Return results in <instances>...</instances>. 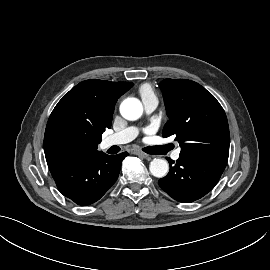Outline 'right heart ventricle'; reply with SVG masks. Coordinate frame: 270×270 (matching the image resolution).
<instances>
[{
    "mask_svg": "<svg viewBox=\"0 0 270 270\" xmlns=\"http://www.w3.org/2000/svg\"><path fill=\"white\" fill-rule=\"evenodd\" d=\"M139 94L142 98L151 97V96H156L155 92L150 84H143L139 87Z\"/></svg>",
    "mask_w": 270,
    "mask_h": 270,
    "instance_id": "e07e8e85",
    "label": "right heart ventricle"
}]
</instances>
